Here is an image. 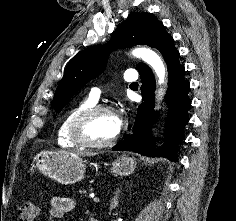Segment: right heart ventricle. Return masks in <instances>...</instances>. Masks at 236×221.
<instances>
[{"label":"right heart ventricle","mask_w":236,"mask_h":221,"mask_svg":"<svg viewBox=\"0 0 236 221\" xmlns=\"http://www.w3.org/2000/svg\"><path fill=\"white\" fill-rule=\"evenodd\" d=\"M91 97L81 100L77 105L71 108L62 118L57 129V144L63 149H74L79 146L76 145L69 136L70 126L75 117L83 110L95 105Z\"/></svg>","instance_id":"e07e8e85"}]
</instances>
